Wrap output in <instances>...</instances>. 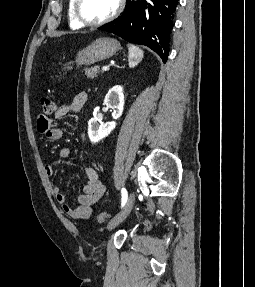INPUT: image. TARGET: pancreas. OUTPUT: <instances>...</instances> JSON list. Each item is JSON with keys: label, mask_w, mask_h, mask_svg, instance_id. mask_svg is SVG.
<instances>
[{"label": "pancreas", "mask_w": 255, "mask_h": 287, "mask_svg": "<svg viewBox=\"0 0 255 287\" xmlns=\"http://www.w3.org/2000/svg\"><path fill=\"white\" fill-rule=\"evenodd\" d=\"M99 70L100 66H94V68H86V70H84V74L87 76V78H91V80H93L96 74H98Z\"/></svg>", "instance_id": "pancreas-1"}]
</instances>
